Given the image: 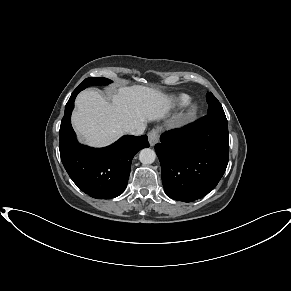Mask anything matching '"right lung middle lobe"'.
Listing matches in <instances>:
<instances>
[{"mask_svg":"<svg viewBox=\"0 0 291 291\" xmlns=\"http://www.w3.org/2000/svg\"><path fill=\"white\" fill-rule=\"evenodd\" d=\"M109 83H111V80H109L107 78H102V77H98V78H87L78 87L81 90H83L86 87H88L89 85H107Z\"/></svg>","mask_w":291,"mask_h":291,"instance_id":"right-lung-middle-lobe-1","label":"right lung middle lobe"}]
</instances>
